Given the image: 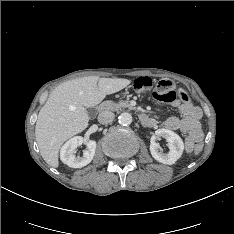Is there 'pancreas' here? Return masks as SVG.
Returning <instances> with one entry per match:
<instances>
[{"instance_id":"cf45deb5","label":"pancreas","mask_w":234,"mask_h":234,"mask_svg":"<svg viewBox=\"0 0 234 234\" xmlns=\"http://www.w3.org/2000/svg\"><path fill=\"white\" fill-rule=\"evenodd\" d=\"M102 107L104 109L111 110V111H118L121 108L133 109L130 103H128L127 101H122V100L117 103L113 101H106L105 103H103Z\"/></svg>"}]
</instances>
